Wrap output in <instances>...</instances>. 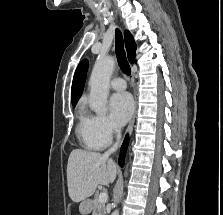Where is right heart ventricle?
Wrapping results in <instances>:
<instances>
[{
  "mask_svg": "<svg viewBox=\"0 0 223 215\" xmlns=\"http://www.w3.org/2000/svg\"><path fill=\"white\" fill-rule=\"evenodd\" d=\"M78 125L77 135L87 149L102 150L106 142L101 140L91 126V115L84 107H81L77 114Z\"/></svg>",
  "mask_w": 223,
  "mask_h": 215,
  "instance_id": "right-heart-ventricle-1",
  "label": "right heart ventricle"
}]
</instances>
